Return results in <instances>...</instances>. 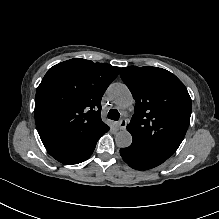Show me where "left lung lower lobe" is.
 <instances>
[{"mask_svg": "<svg viewBox=\"0 0 219 219\" xmlns=\"http://www.w3.org/2000/svg\"><path fill=\"white\" fill-rule=\"evenodd\" d=\"M120 154L123 160L131 168L136 170L152 169L162 164L167 159L152 150L142 147L134 141L129 147L121 148Z\"/></svg>", "mask_w": 219, "mask_h": 219, "instance_id": "obj_1", "label": "left lung lower lobe"}]
</instances>
